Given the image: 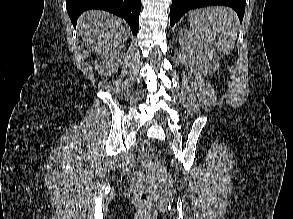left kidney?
I'll use <instances>...</instances> for the list:
<instances>
[{"label":"left kidney","instance_id":"1","mask_svg":"<svg viewBox=\"0 0 293 219\" xmlns=\"http://www.w3.org/2000/svg\"><path fill=\"white\" fill-rule=\"evenodd\" d=\"M179 35L180 44L186 49L187 55L192 62L198 63L205 75L218 70L219 56L210 45L193 36L187 29H181Z\"/></svg>","mask_w":293,"mask_h":219}]
</instances>
